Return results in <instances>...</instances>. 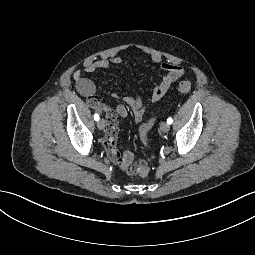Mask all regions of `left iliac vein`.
Segmentation results:
<instances>
[{"mask_svg":"<svg viewBox=\"0 0 255 255\" xmlns=\"http://www.w3.org/2000/svg\"><path fill=\"white\" fill-rule=\"evenodd\" d=\"M160 129L162 132L166 133L170 130V125L167 122H162L160 125Z\"/></svg>","mask_w":255,"mask_h":255,"instance_id":"1","label":"left iliac vein"}]
</instances>
